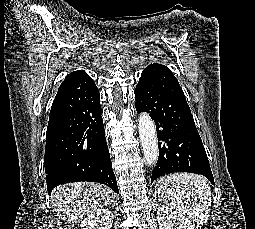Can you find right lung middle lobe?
<instances>
[{
	"instance_id": "dd1d6c3e",
	"label": "right lung middle lobe",
	"mask_w": 255,
	"mask_h": 229,
	"mask_svg": "<svg viewBox=\"0 0 255 229\" xmlns=\"http://www.w3.org/2000/svg\"><path fill=\"white\" fill-rule=\"evenodd\" d=\"M50 138H51V134H47V136H46V143H47V141H48Z\"/></svg>"
}]
</instances>
